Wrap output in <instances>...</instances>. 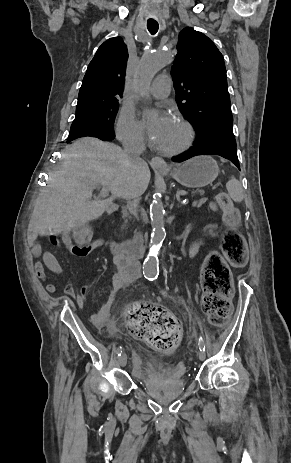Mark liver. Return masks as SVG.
<instances>
[{"label":"liver","mask_w":291,"mask_h":463,"mask_svg":"<svg viewBox=\"0 0 291 463\" xmlns=\"http://www.w3.org/2000/svg\"><path fill=\"white\" fill-rule=\"evenodd\" d=\"M148 164L131 161L119 146L92 137L72 143L61 165L35 202L28 226L29 240L38 235L69 233L75 226L98 219L116 198L133 199L148 187ZM101 185L111 192L105 200H92Z\"/></svg>","instance_id":"1"}]
</instances>
